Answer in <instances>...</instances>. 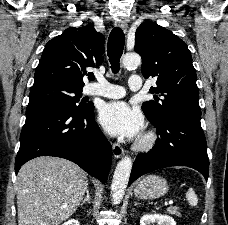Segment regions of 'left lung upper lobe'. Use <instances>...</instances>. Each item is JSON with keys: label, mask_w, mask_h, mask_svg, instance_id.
<instances>
[{"label": "left lung upper lobe", "mask_w": 228, "mask_h": 225, "mask_svg": "<svg viewBox=\"0 0 228 225\" xmlns=\"http://www.w3.org/2000/svg\"><path fill=\"white\" fill-rule=\"evenodd\" d=\"M135 51L142 58L143 76L157 78L150 92L164 97L143 103L147 119L155 124L172 114L200 118L196 72L185 42L157 23L145 21L136 30Z\"/></svg>", "instance_id": "obj_1"}]
</instances>
